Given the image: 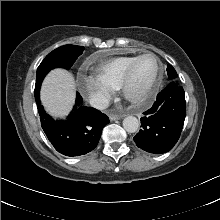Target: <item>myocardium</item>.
Returning a JSON list of instances; mask_svg holds the SVG:
<instances>
[{
    "mask_svg": "<svg viewBox=\"0 0 220 220\" xmlns=\"http://www.w3.org/2000/svg\"><path fill=\"white\" fill-rule=\"evenodd\" d=\"M146 56H152L156 59L157 72H156L153 80L150 82V84L145 88V90L142 93H140L138 95H133L130 93V85L132 82L133 73H134L135 67L138 64V62ZM161 77H162V62H161L160 58L153 52H145V53L137 56L133 60V62L128 66V68L123 76L121 85H120V90H121L122 96L126 100H128L129 102H131L133 104H141V103L145 102L149 98V96L153 93V91L157 87L158 83L160 82Z\"/></svg>",
    "mask_w": 220,
    "mask_h": 220,
    "instance_id": "1",
    "label": "myocardium"
}]
</instances>
